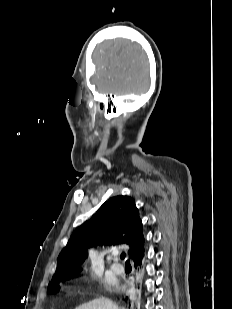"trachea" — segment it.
Segmentation results:
<instances>
[{"label": "trachea", "instance_id": "obj_1", "mask_svg": "<svg viewBox=\"0 0 232 309\" xmlns=\"http://www.w3.org/2000/svg\"><path fill=\"white\" fill-rule=\"evenodd\" d=\"M120 257H121L122 259H125L126 254H125L124 252H122L121 255H120ZM126 264H129V261H128V260L126 261Z\"/></svg>", "mask_w": 232, "mask_h": 309}]
</instances>
